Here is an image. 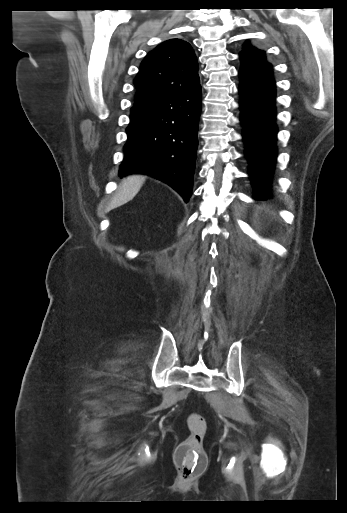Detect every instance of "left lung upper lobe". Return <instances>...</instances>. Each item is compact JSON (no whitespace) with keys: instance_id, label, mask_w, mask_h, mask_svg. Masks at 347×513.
I'll return each mask as SVG.
<instances>
[{"instance_id":"obj_1","label":"left lung upper lobe","mask_w":347,"mask_h":513,"mask_svg":"<svg viewBox=\"0 0 347 513\" xmlns=\"http://www.w3.org/2000/svg\"><path fill=\"white\" fill-rule=\"evenodd\" d=\"M240 57H255L266 61L264 51L252 47L248 41L244 44L243 51L240 53Z\"/></svg>"}]
</instances>
